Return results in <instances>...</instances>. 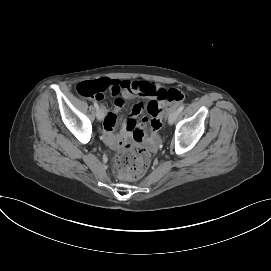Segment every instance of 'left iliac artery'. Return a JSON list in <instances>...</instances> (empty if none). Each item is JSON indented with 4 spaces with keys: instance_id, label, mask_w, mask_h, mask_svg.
Instances as JSON below:
<instances>
[{
    "instance_id": "1",
    "label": "left iliac artery",
    "mask_w": 271,
    "mask_h": 271,
    "mask_svg": "<svg viewBox=\"0 0 271 271\" xmlns=\"http://www.w3.org/2000/svg\"><path fill=\"white\" fill-rule=\"evenodd\" d=\"M184 105H181L179 108H178V112L180 113V112H182L183 111V109H184Z\"/></svg>"
}]
</instances>
